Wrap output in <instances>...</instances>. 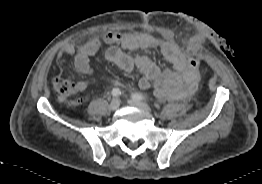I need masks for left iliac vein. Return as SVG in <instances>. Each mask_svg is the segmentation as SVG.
I'll return each instance as SVG.
<instances>
[{"label":"left iliac vein","mask_w":262,"mask_h":184,"mask_svg":"<svg viewBox=\"0 0 262 184\" xmlns=\"http://www.w3.org/2000/svg\"><path fill=\"white\" fill-rule=\"evenodd\" d=\"M128 102H129V104L132 105V106L142 108V109L146 110L147 112H151V108L148 106L147 103H145V102H143V101L131 99V100H129Z\"/></svg>","instance_id":"1"}]
</instances>
